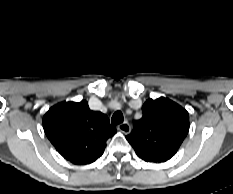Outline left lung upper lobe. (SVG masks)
Masks as SVG:
<instances>
[{"label":"left lung upper lobe","instance_id":"5c2ea615","mask_svg":"<svg viewBox=\"0 0 233 194\" xmlns=\"http://www.w3.org/2000/svg\"><path fill=\"white\" fill-rule=\"evenodd\" d=\"M143 117L134 122L126 136L137 156L146 162L160 163L175 155L189 130V115L168 98L148 99Z\"/></svg>","mask_w":233,"mask_h":194}]
</instances>
